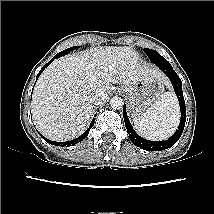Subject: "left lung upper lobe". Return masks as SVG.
Listing matches in <instances>:
<instances>
[{"mask_svg": "<svg viewBox=\"0 0 214 214\" xmlns=\"http://www.w3.org/2000/svg\"><path fill=\"white\" fill-rule=\"evenodd\" d=\"M144 51L149 56L151 62L157 65L158 67L170 66V63L164 57H162L157 51L152 49H144Z\"/></svg>", "mask_w": 214, "mask_h": 214, "instance_id": "1", "label": "left lung upper lobe"}]
</instances>
